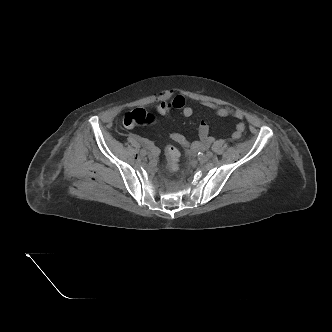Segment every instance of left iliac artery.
Here are the masks:
<instances>
[{"label": "left iliac artery", "mask_w": 332, "mask_h": 332, "mask_svg": "<svg viewBox=\"0 0 332 332\" xmlns=\"http://www.w3.org/2000/svg\"><path fill=\"white\" fill-rule=\"evenodd\" d=\"M206 155H207L209 158H211V157L213 156V153H212L211 151H207V152H206Z\"/></svg>", "instance_id": "1"}]
</instances>
